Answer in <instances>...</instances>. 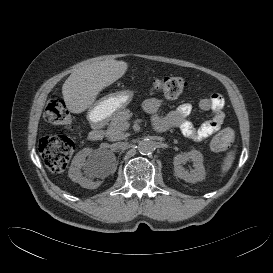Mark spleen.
<instances>
[{"label":"spleen","instance_id":"spleen-1","mask_svg":"<svg viewBox=\"0 0 273 273\" xmlns=\"http://www.w3.org/2000/svg\"><path fill=\"white\" fill-rule=\"evenodd\" d=\"M235 159V153L230 152L227 154V156L224 159L223 165H222V173L228 172V170L231 168L233 161Z\"/></svg>","mask_w":273,"mask_h":273}]
</instances>
